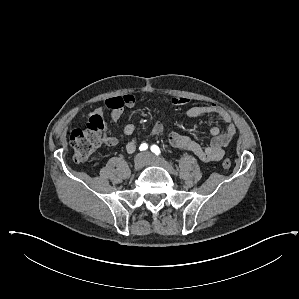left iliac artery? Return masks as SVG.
Returning a JSON list of instances; mask_svg holds the SVG:
<instances>
[{"label": "left iliac artery", "mask_w": 299, "mask_h": 299, "mask_svg": "<svg viewBox=\"0 0 299 299\" xmlns=\"http://www.w3.org/2000/svg\"><path fill=\"white\" fill-rule=\"evenodd\" d=\"M151 151H152L155 155H160V153H161L159 147L156 146V145H152V146H151Z\"/></svg>", "instance_id": "44dca946"}]
</instances>
